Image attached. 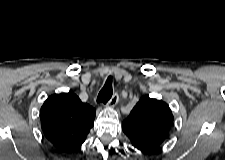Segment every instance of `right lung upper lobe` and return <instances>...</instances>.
I'll return each instance as SVG.
<instances>
[{
	"mask_svg": "<svg viewBox=\"0 0 225 160\" xmlns=\"http://www.w3.org/2000/svg\"><path fill=\"white\" fill-rule=\"evenodd\" d=\"M96 110L73 92L50 96L41 107L45 137L61 152L80 149L93 127Z\"/></svg>",
	"mask_w": 225,
	"mask_h": 160,
	"instance_id": "cb5924a9",
	"label": "right lung upper lobe"
}]
</instances>
